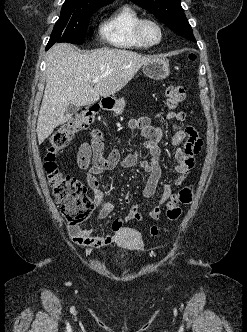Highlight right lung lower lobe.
<instances>
[{"instance_id":"98d812e1","label":"right lung lower lobe","mask_w":247,"mask_h":332,"mask_svg":"<svg viewBox=\"0 0 247 332\" xmlns=\"http://www.w3.org/2000/svg\"><path fill=\"white\" fill-rule=\"evenodd\" d=\"M50 47H51V46H48V45H47V46H46V50H48Z\"/></svg>"}]
</instances>
